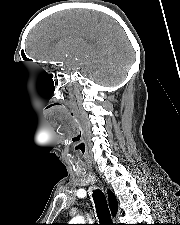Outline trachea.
Returning <instances> with one entry per match:
<instances>
[{
  "instance_id": "obj_1",
  "label": "trachea",
  "mask_w": 180,
  "mask_h": 225,
  "mask_svg": "<svg viewBox=\"0 0 180 225\" xmlns=\"http://www.w3.org/2000/svg\"><path fill=\"white\" fill-rule=\"evenodd\" d=\"M93 200L101 225H113L105 195L101 191L96 190L93 193Z\"/></svg>"
}]
</instances>
